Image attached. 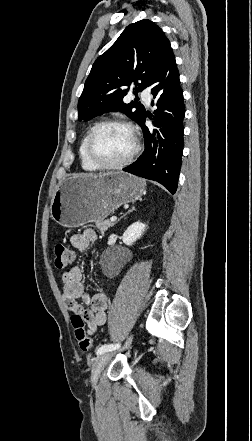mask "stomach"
Returning a JSON list of instances; mask_svg holds the SVG:
<instances>
[{
    "instance_id": "obj_1",
    "label": "stomach",
    "mask_w": 252,
    "mask_h": 441,
    "mask_svg": "<svg viewBox=\"0 0 252 441\" xmlns=\"http://www.w3.org/2000/svg\"><path fill=\"white\" fill-rule=\"evenodd\" d=\"M145 186L143 179L119 171L76 175L63 181L54 193L51 217L67 228L104 220L122 204L140 199Z\"/></svg>"
}]
</instances>
